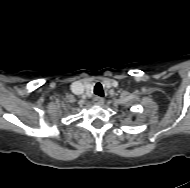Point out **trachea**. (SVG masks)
I'll return each instance as SVG.
<instances>
[{
	"label": "trachea",
	"mask_w": 190,
	"mask_h": 188,
	"mask_svg": "<svg viewBox=\"0 0 190 188\" xmlns=\"http://www.w3.org/2000/svg\"><path fill=\"white\" fill-rule=\"evenodd\" d=\"M94 93L98 96H103L104 92H103V88L102 85L100 83H97L94 87Z\"/></svg>",
	"instance_id": "trachea-1"
}]
</instances>
